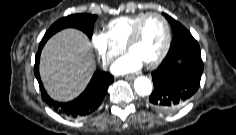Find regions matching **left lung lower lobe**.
<instances>
[{
    "mask_svg": "<svg viewBox=\"0 0 236 135\" xmlns=\"http://www.w3.org/2000/svg\"><path fill=\"white\" fill-rule=\"evenodd\" d=\"M173 41L160 66L152 72L154 90L149 106L168 114L185 105L197 92L203 72L200 47L190 32L171 19ZM181 61V63H179Z\"/></svg>",
    "mask_w": 236,
    "mask_h": 135,
    "instance_id": "obj_1",
    "label": "left lung lower lobe"
}]
</instances>
